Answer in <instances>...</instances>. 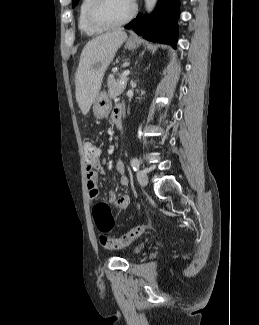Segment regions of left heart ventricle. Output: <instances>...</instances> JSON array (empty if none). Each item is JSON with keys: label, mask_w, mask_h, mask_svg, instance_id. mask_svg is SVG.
<instances>
[{"label": "left heart ventricle", "mask_w": 259, "mask_h": 325, "mask_svg": "<svg viewBox=\"0 0 259 325\" xmlns=\"http://www.w3.org/2000/svg\"><path fill=\"white\" fill-rule=\"evenodd\" d=\"M132 3L129 0H107L105 13L112 19H121L130 11Z\"/></svg>", "instance_id": "obj_1"}]
</instances>
